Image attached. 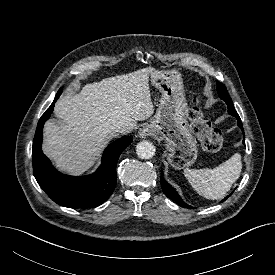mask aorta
<instances>
[{
	"label": "aorta",
	"instance_id": "762f6f07",
	"mask_svg": "<svg viewBox=\"0 0 275 275\" xmlns=\"http://www.w3.org/2000/svg\"><path fill=\"white\" fill-rule=\"evenodd\" d=\"M136 154L141 159H150L155 155V146L149 141H141L136 146Z\"/></svg>",
	"mask_w": 275,
	"mask_h": 275
}]
</instances>
